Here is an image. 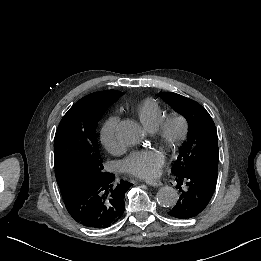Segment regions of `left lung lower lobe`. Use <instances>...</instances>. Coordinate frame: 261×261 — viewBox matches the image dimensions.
<instances>
[{"label":"left lung lower lobe","mask_w":261,"mask_h":261,"mask_svg":"<svg viewBox=\"0 0 261 261\" xmlns=\"http://www.w3.org/2000/svg\"><path fill=\"white\" fill-rule=\"evenodd\" d=\"M180 191L176 205L169 215L177 219H189L197 216L208 205L216 188L217 178L206 176L194 170L176 175Z\"/></svg>","instance_id":"left-lung-lower-lobe-1"}]
</instances>
